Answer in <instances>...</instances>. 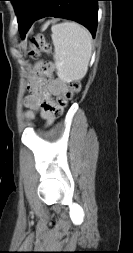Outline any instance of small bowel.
I'll return each instance as SVG.
<instances>
[{"label": "small bowel", "instance_id": "obj_1", "mask_svg": "<svg viewBox=\"0 0 133 253\" xmlns=\"http://www.w3.org/2000/svg\"><path fill=\"white\" fill-rule=\"evenodd\" d=\"M53 66L52 60H43V64L37 66L27 86L29 95L24 99L25 118L32 120L39 113L45 120V127L54 123L58 116L53 111L56 105L55 98L59 99L64 95L68 87L64 81L52 76Z\"/></svg>", "mask_w": 133, "mask_h": 253}]
</instances>
